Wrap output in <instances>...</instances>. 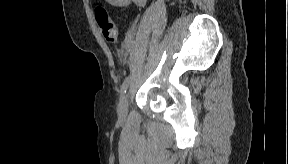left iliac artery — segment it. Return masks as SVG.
I'll return each instance as SVG.
<instances>
[{
    "mask_svg": "<svg viewBox=\"0 0 288 164\" xmlns=\"http://www.w3.org/2000/svg\"><path fill=\"white\" fill-rule=\"evenodd\" d=\"M129 83H130V77H127L121 85L120 97H122L126 93L128 87H129Z\"/></svg>",
    "mask_w": 288,
    "mask_h": 164,
    "instance_id": "44dca946",
    "label": "left iliac artery"
}]
</instances>
